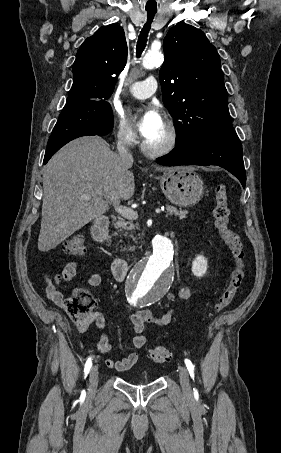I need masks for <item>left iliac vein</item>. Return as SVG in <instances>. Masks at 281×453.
I'll return each mask as SVG.
<instances>
[{
    "instance_id": "1",
    "label": "left iliac vein",
    "mask_w": 281,
    "mask_h": 453,
    "mask_svg": "<svg viewBox=\"0 0 281 453\" xmlns=\"http://www.w3.org/2000/svg\"><path fill=\"white\" fill-rule=\"evenodd\" d=\"M180 380L181 384L180 387L183 390L184 395H191L192 390L190 387V381H189V373L186 368H181L180 369Z\"/></svg>"
}]
</instances>
